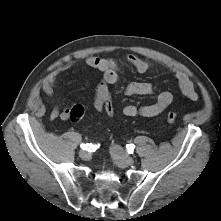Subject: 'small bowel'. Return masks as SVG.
I'll use <instances>...</instances> for the list:
<instances>
[{"label":"small bowel","instance_id":"c3829d8e","mask_svg":"<svg viewBox=\"0 0 221 221\" xmlns=\"http://www.w3.org/2000/svg\"><path fill=\"white\" fill-rule=\"evenodd\" d=\"M86 65L91 68L98 70L102 74V78L96 87L94 97V107L99 112L103 111L104 96L111 95L110 88L118 80V72L122 66H130L137 73L147 72L154 63L147 59H143L133 54L127 55L122 60H115L111 58H104L98 55H89L84 58ZM74 61L69 60L59 64L55 69L45 78L42 84L44 93L53 98L55 95L56 86L59 83V76L62 72L66 71L73 65ZM174 73L177 85L182 94L191 101L198 99V93L193 82L188 76L181 70L171 68ZM154 92L153 86L147 82H131L125 88L127 95H149ZM173 95L170 91H162L157 95L156 102L150 105L135 106L127 105L123 108V114L126 117H155L161 114L172 102ZM70 108L60 109L57 105H54L51 112L50 118L63 120L69 119Z\"/></svg>","mask_w":221,"mask_h":221}]
</instances>
